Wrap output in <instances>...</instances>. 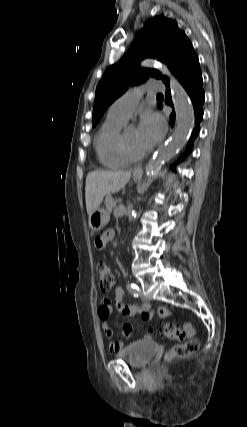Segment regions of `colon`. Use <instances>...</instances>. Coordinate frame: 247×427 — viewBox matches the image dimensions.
Here are the masks:
<instances>
[{"label":"colon","instance_id":"5ec220e1","mask_svg":"<svg viewBox=\"0 0 247 427\" xmlns=\"http://www.w3.org/2000/svg\"><path fill=\"white\" fill-rule=\"evenodd\" d=\"M99 274V284L102 291L107 292L111 290L115 284V276L111 269L105 263L97 265ZM161 333L170 339L179 341L187 340L186 342L174 346L169 353L170 357H184L192 354L199 347L198 340L194 339L195 329L190 322H187L181 329L173 324L167 323L162 329Z\"/></svg>","mask_w":247,"mask_h":427}]
</instances>
